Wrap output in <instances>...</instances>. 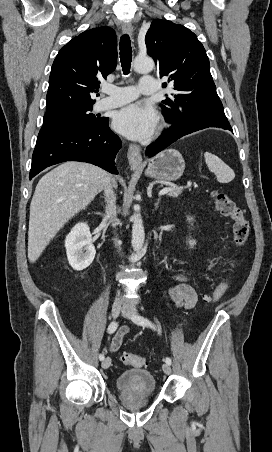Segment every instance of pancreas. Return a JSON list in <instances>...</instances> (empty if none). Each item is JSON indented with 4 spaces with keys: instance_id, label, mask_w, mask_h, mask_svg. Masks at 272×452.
Instances as JSON below:
<instances>
[{
    "instance_id": "cf45deb5",
    "label": "pancreas",
    "mask_w": 272,
    "mask_h": 452,
    "mask_svg": "<svg viewBox=\"0 0 272 452\" xmlns=\"http://www.w3.org/2000/svg\"><path fill=\"white\" fill-rule=\"evenodd\" d=\"M181 189H174L171 192H169L170 197H178L181 194Z\"/></svg>"
}]
</instances>
